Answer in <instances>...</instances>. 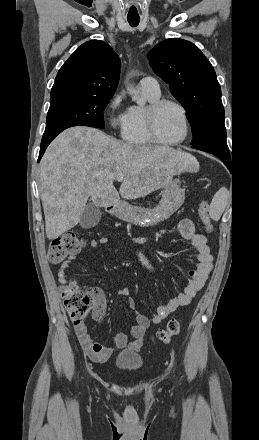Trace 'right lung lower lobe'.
<instances>
[{
  "instance_id": "1",
  "label": "right lung lower lobe",
  "mask_w": 259,
  "mask_h": 440,
  "mask_svg": "<svg viewBox=\"0 0 259 440\" xmlns=\"http://www.w3.org/2000/svg\"><path fill=\"white\" fill-rule=\"evenodd\" d=\"M72 127V126H68V127H64L61 129H58L56 131H53L51 133L48 134H44L42 141H41V146H40V153H39V158H38V162L40 161L41 157L43 156L46 148L48 147V145L51 143V141L59 134L61 133L63 130Z\"/></svg>"
}]
</instances>
